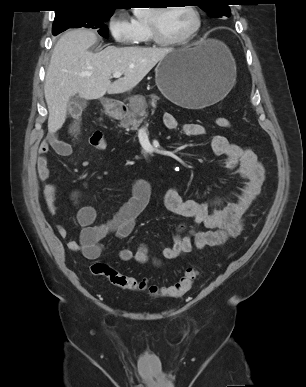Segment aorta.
I'll list each match as a JSON object with an SVG mask.
<instances>
[{
  "instance_id": "aorta-1",
  "label": "aorta",
  "mask_w": 306,
  "mask_h": 387,
  "mask_svg": "<svg viewBox=\"0 0 306 387\" xmlns=\"http://www.w3.org/2000/svg\"><path fill=\"white\" fill-rule=\"evenodd\" d=\"M144 9L146 8H134L133 13L135 16H141L145 12Z\"/></svg>"
}]
</instances>
